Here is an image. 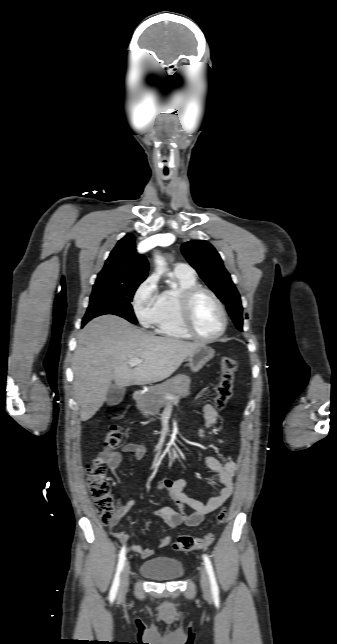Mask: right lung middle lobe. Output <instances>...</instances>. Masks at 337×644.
<instances>
[{
	"label": "right lung middle lobe",
	"mask_w": 337,
	"mask_h": 644,
	"mask_svg": "<svg viewBox=\"0 0 337 644\" xmlns=\"http://www.w3.org/2000/svg\"><path fill=\"white\" fill-rule=\"evenodd\" d=\"M140 283L94 285L82 323L86 324L100 315L113 314L136 324L131 301Z\"/></svg>",
	"instance_id": "1"
}]
</instances>
